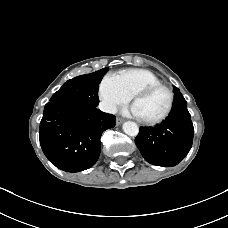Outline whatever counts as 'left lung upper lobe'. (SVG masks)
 I'll list each match as a JSON object with an SVG mask.
<instances>
[{"mask_svg": "<svg viewBox=\"0 0 228 228\" xmlns=\"http://www.w3.org/2000/svg\"><path fill=\"white\" fill-rule=\"evenodd\" d=\"M174 92L176 93V92H180V91H179L178 88H175V89H174Z\"/></svg>", "mask_w": 228, "mask_h": 228, "instance_id": "left-lung-upper-lobe-1", "label": "left lung upper lobe"}]
</instances>
